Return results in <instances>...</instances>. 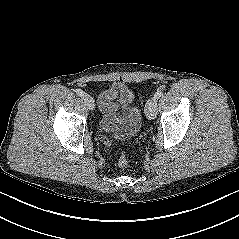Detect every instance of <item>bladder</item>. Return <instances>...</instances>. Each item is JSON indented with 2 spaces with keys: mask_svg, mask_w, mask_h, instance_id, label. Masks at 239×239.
I'll return each instance as SVG.
<instances>
[{
  "mask_svg": "<svg viewBox=\"0 0 239 239\" xmlns=\"http://www.w3.org/2000/svg\"><path fill=\"white\" fill-rule=\"evenodd\" d=\"M116 90V103L123 109L119 133L128 137H133L140 129L141 111L135 102L134 92L127 84H119Z\"/></svg>",
  "mask_w": 239,
  "mask_h": 239,
  "instance_id": "31cf9c89",
  "label": "bladder"
}]
</instances>
